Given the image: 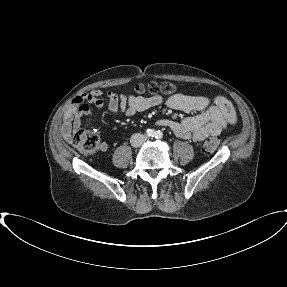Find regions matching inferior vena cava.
I'll return each mask as SVG.
<instances>
[{
  "label": "inferior vena cava",
  "mask_w": 287,
  "mask_h": 287,
  "mask_svg": "<svg viewBox=\"0 0 287 287\" xmlns=\"http://www.w3.org/2000/svg\"><path fill=\"white\" fill-rule=\"evenodd\" d=\"M147 140V137L140 133H135L131 136L130 143L133 147H139L141 146L145 141Z\"/></svg>",
  "instance_id": "1"
}]
</instances>
